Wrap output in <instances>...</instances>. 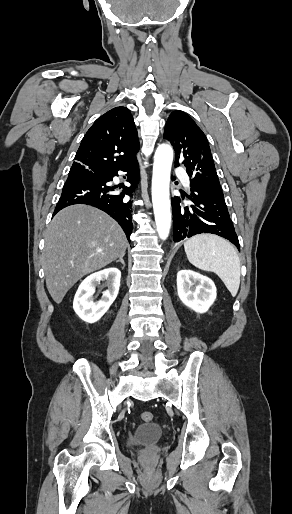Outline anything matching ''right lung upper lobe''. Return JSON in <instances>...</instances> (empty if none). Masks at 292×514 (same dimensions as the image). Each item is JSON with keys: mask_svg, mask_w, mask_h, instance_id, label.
Returning <instances> with one entry per match:
<instances>
[{"mask_svg": "<svg viewBox=\"0 0 292 514\" xmlns=\"http://www.w3.org/2000/svg\"><path fill=\"white\" fill-rule=\"evenodd\" d=\"M138 133L130 110L119 106L99 117L82 139L69 174L107 173L136 161Z\"/></svg>", "mask_w": 292, "mask_h": 514, "instance_id": "1", "label": "right lung upper lobe"}]
</instances>
